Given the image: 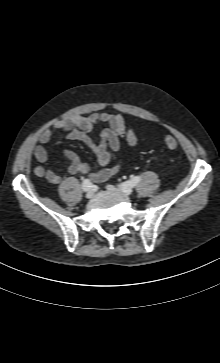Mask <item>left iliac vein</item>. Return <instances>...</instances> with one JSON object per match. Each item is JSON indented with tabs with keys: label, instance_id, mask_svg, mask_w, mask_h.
I'll list each match as a JSON object with an SVG mask.
<instances>
[{
	"label": "left iliac vein",
	"instance_id": "4c4485c4",
	"mask_svg": "<svg viewBox=\"0 0 220 363\" xmlns=\"http://www.w3.org/2000/svg\"><path fill=\"white\" fill-rule=\"evenodd\" d=\"M107 188L109 190H111V191L119 192V193L123 194L126 197H129L130 196V193H131V189L129 191H124L122 189H118V188H115V187H112V186H108Z\"/></svg>",
	"mask_w": 220,
	"mask_h": 363
}]
</instances>
